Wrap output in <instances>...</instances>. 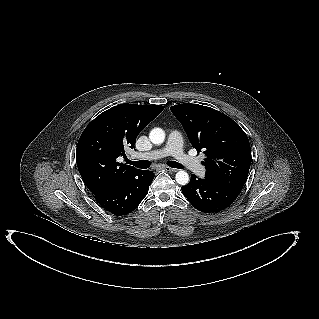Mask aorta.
<instances>
[{
	"mask_svg": "<svg viewBox=\"0 0 319 319\" xmlns=\"http://www.w3.org/2000/svg\"><path fill=\"white\" fill-rule=\"evenodd\" d=\"M149 139L153 144H162L165 140L164 130L158 127L152 129L149 134ZM175 179L178 184L186 185L189 182V175L187 172L181 170L176 173Z\"/></svg>",
	"mask_w": 319,
	"mask_h": 319,
	"instance_id": "aorta-1",
	"label": "aorta"
}]
</instances>
